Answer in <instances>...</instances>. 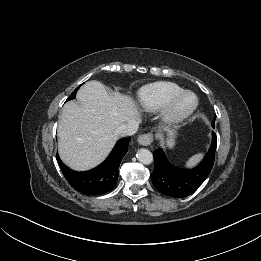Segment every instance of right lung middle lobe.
<instances>
[{"instance_id": "1", "label": "right lung middle lobe", "mask_w": 261, "mask_h": 261, "mask_svg": "<svg viewBox=\"0 0 261 261\" xmlns=\"http://www.w3.org/2000/svg\"><path fill=\"white\" fill-rule=\"evenodd\" d=\"M79 87H80V86H79ZM79 87H77V88L73 91V93L70 95V97L67 99V101H68V100H72V99L75 98L76 92H77V90L79 89Z\"/></svg>"}]
</instances>
